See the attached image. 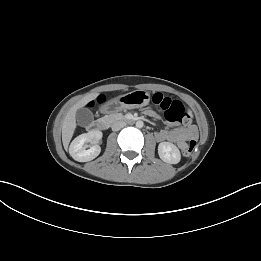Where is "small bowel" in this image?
<instances>
[{"label":"small bowel","instance_id":"1","mask_svg":"<svg viewBox=\"0 0 261 261\" xmlns=\"http://www.w3.org/2000/svg\"><path fill=\"white\" fill-rule=\"evenodd\" d=\"M145 113L151 117H158V114L150 108L145 109ZM196 136V129L192 127H173L171 129L162 130L156 133V138L158 141L173 142L182 150L186 147L188 141L195 139Z\"/></svg>","mask_w":261,"mask_h":261}]
</instances>
